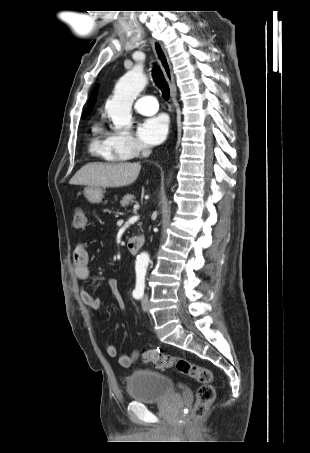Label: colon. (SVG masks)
Returning a JSON list of instances; mask_svg holds the SVG:
<instances>
[{
	"mask_svg": "<svg viewBox=\"0 0 310 453\" xmlns=\"http://www.w3.org/2000/svg\"><path fill=\"white\" fill-rule=\"evenodd\" d=\"M87 219L83 209L77 208L73 213V225L77 229L86 226ZM142 361L151 363L159 370L175 368L180 374L189 376L196 380L200 386L197 390L196 401L190 416V422L202 419L215 399V389L213 386V374L205 367L196 365L187 359L166 354L154 349L141 351Z\"/></svg>",
	"mask_w": 310,
	"mask_h": 453,
	"instance_id": "5ec220e1",
	"label": "colon"
}]
</instances>
